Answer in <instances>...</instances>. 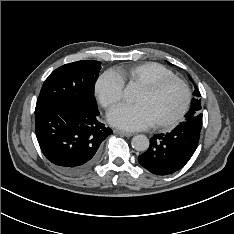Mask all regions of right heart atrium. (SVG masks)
Returning a JSON list of instances; mask_svg holds the SVG:
<instances>
[{
    "mask_svg": "<svg viewBox=\"0 0 234 234\" xmlns=\"http://www.w3.org/2000/svg\"><path fill=\"white\" fill-rule=\"evenodd\" d=\"M124 83L111 70L103 72L96 80L94 92L104 108L116 105L123 96Z\"/></svg>",
    "mask_w": 234,
    "mask_h": 234,
    "instance_id": "right-heart-atrium-1",
    "label": "right heart atrium"
}]
</instances>
